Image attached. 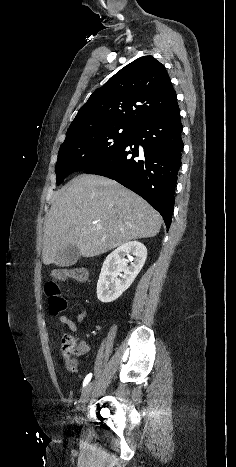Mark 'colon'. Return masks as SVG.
<instances>
[{
  "label": "colon",
  "instance_id": "5ec220e1",
  "mask_svg": "<svg viewBox=\"0 0 236 467\" xmlns=\"http://www.w3.org/2000/svg\"><path fill=\"white\" fill-rule=\"evenodd\" d=\"M87 278V271L83 267H59L53 271V280L48 282L45 288L48 310L51 315H58L66 309L67 302L64 299L57 281L73 279L83 282ZM84 349L83 343H78L71 335H64L61 339L62 360L68 370H75L78 360Z\"/></svg>",
  "mask_w": 236,
  "mask_h": 467
}]
</instances>
